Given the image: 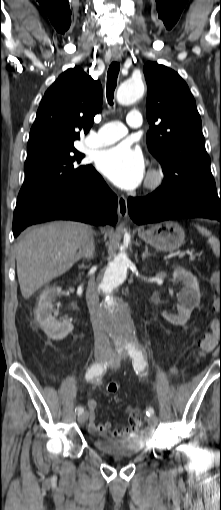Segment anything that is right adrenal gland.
Masks as SVG:
<instances>
[{
  "instance_id": "2a0ac1e0",
  "label": "right adrenal gland",
  "mask_w": 221,
  "mask_h": 510,
  "mask_svg": "<svg viewBox=\"0 0 221 510\" xmlns=\"http://www.w3.org/2000/svg\"><path fill=\"white\" fill-rule=\"evenodd\" d=\"M80 267H81V268H84L85 266H84V264H82Z\"/></svg>"
}]
</instances>
